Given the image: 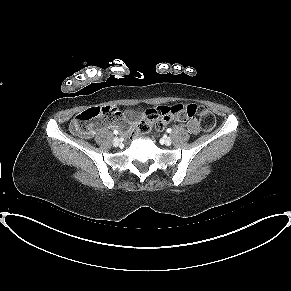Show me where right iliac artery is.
<instances>
[{"label":"right iliac artery","mask_w":291,"mask_h":291,"mask_svg":"<svg viewBox=\"0 0 291 291\" xmlns=\"http://www.w3.org/2000/svg\"><path fill=\"white\" fill-rule=\"evenodd\" d=\"M114 134H118V131L117 130H114Z\"/></svg>","instance_id":"82829eb1"}]
</instances>
